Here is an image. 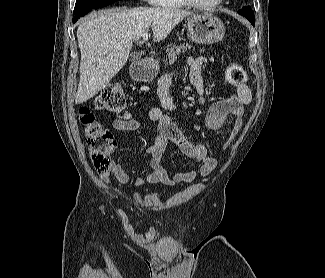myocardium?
I'll list each match as a JSON object with an SVG mask.
<instances>
[{
  "instance_id": "obj_1",
  "label": "myocardium",
  "mask_w": 325,
  "mask_h": 278,
  "mask_svg": "<svg viewBox=\"0 0 325 278\" xmlns=\"http://www.w3.org/2000/svg\"><path fill=\"white\" fill-rule=\"evenodd\" d=\"M182 2L186 6L194 8V9L212 10V9L218 7L223 2V0H215L213 3H210V4H200V3H197L194 0H182Z\"/></svg>"
}]
</instances>
